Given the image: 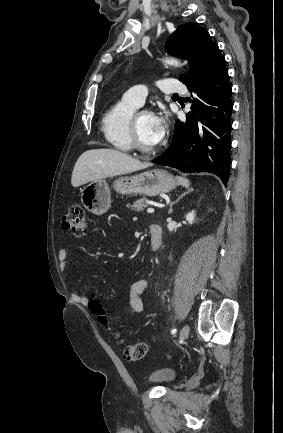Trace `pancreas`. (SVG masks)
<instances>
[{
  "instance_id": "pancreas-1",
  "label": "pancreas",
  "mask_w": 283,
  "mask_h": 433,
  "mask_svg": "<svg viewBox=\"0 0 283 433\" xmlns=\"http://www.w3.org/2000/svg\"><path fill=\"white\" fill-rule=\"evenodd\" d=\"M148 198L144 196V198H139V200H134L133 204H130V208H133V210H138V212H141L145 206H148Z\"/></svg>"
}]
</instances>
